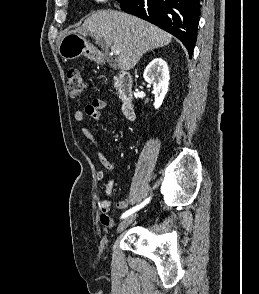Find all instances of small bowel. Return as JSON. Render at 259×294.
Returning a JSON list of instances; mask_svg holds the SVG:
<instances>
[{"mask_svg": "<svg viewBox=\"0 0 259 294\" xmlns=\"http://www.w3.org/2000/svg\"><path fill=\"white\" fill-rule=\"evenodd\" d=\"M107 103L103 99H95L90 104L85 107L84 111L77 110L74 113V118L78 122H82L84 120L85 115L92 118L95 121H99L101 117V113L106 109ZM83 135L90 140V142L96 148L97 157L102 164V166L106 170H113L114 164L107 157L105 152L102 150L101 145L97 139V137L87 128H82ZM96 178L98 181H105V196L100 200V215L99 219L103 226L105 227H113L114 222L109 216V210L111 207V199L110 195L112 193L114 187V180L112 178L107 177L106 173L103 170H100L96 173ZM128 206V202L126 199L122 198L117 202V207L119 209H126Z\"/></svg>", "mask_w": 259, "mask_h": 294, "instance_id": "1", "label": "small bowel"}]
</instances>
